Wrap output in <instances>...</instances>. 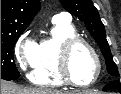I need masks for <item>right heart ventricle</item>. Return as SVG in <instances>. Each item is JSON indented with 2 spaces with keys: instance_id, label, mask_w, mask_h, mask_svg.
<instances>
[{
  "instance_id": "obj_1",
  "label": "right heart ventricle",
  "mask_w": 121,
  "mask_h": 94,
  "mask_svg": "<svg viewBox=\"0 0 121 94\" xmlns=\"http://www.w3.org/2000/svg\"><path fill=\"white\" fill-rule=\"evenodd\" d=\"M75 35L76 30L69 21H54L50 36L36 46L29 75L33 84L49 88L65 86L58 73V50L62 41Z\"/></svg>"
}]
</instances>
